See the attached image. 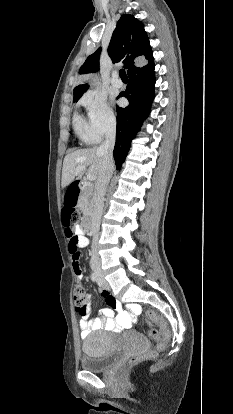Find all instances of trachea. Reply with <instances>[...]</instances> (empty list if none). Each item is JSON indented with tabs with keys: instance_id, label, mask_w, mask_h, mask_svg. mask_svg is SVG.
Wrapping results in <instances>:
<instances>
[{
	"instance_id": "obj_1",
	"label": "trachea",
	"mask_w": 233,
	"mask_h": 414,
	"mask_svg": "<svg viewBox=\"0 0 233 414\" xmlns=\"http://www.w3.org/2000/svg\"><path fill=\"white\" fill-rule=\"evenodd\" d=\"M119 75L121 79H127V75L124 69H120Z\"/></svg>"
}]
</instances>
